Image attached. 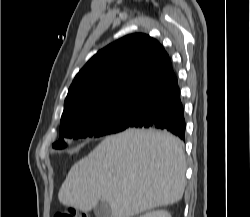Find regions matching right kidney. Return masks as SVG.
Wrapping results in <instances>:
<instances>
[{
  "label": "right kidney",
  "instance_id": "1",
  "mask_svg": "<svg viewBox=\"0 0 250 217\" xmlns=\"http://www.w3.org/2000/svg\"><path fill=\"white\" fill-rule=\"evenodd\" d=\"M140 217H171V214L166 210H155L147 212L146 214H143Z\"/></svg>",
  "mask_w": 250,
  "mask_h": 217
}]
</instances>
